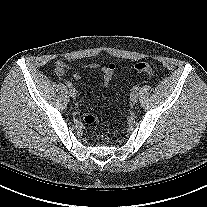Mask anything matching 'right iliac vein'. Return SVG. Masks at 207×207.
<instances>
[{"label": "right iliac vein", "mask_w": 207, "mask_h": 207, "mask_svg": "<svg viewBox=\"0 0 207 207\" xmlns=\"http://www.w3.org/2000/svg\"><path fill=\"white\" fill-rule=\"evenodd\" d=\"M69 94H70V96H71L72 98H75V97L77 96V91H76V89L71 87V88L69 89Z\"/></svg>", "instance_id": "63e3f726"}]
</instances>
